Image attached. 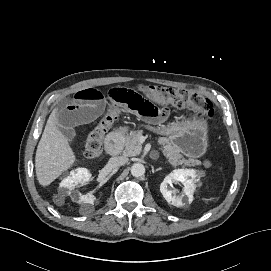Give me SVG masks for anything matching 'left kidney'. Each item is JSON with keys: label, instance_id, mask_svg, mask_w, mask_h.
<instances>
[{"label": "left kidney", "instance_id": "obj_1", "mask_svg": "<svg viewBox=\"0 0 271 271\" xmlns=\"http://www.w3.org/2000/svg\"><path fill=\"white\" fill-rule=\"evenodd\" d=\"M198 174L193 169H177L167 175L160 185V192L165 200L174 206L181 207L185 201H191L198 182ZM181 182L184 187L181 195H177L173 189V183Z\"/></svg>", "mask_w": 271, "mask_h": 271}]
</instances>
